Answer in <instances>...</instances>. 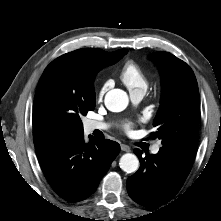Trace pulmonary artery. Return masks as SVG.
Listing matches in <instances>:
<instances>
[{
  "label": "pulmonary artery",
  "mask_w": 221,
  "mask_h": 221,
  "mask_svg": "<svg viewBox=\"0 0 221 221\" xmlns=\"http://www.w3.org/2000/svg\"><path fill=\"white\" fill-rule=\"evenodd\" d=\"M145 90H137V91H130V97L131 100L134 103L139 102L143 96H144ZM109 127L108 124L104 123V122H98V121H87L85 124V129L87 132H92L95 130H106ZM161 145L160 144H156L153 148H152V153L156 154L159 152Z\"/></svg>",
  "instance_id": "1"
}]
</instances>
